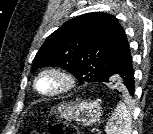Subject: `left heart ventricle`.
Segmentation results:
<instances>
[{"mask_svg":"<svg viewBox=\"0 0 153 134\" xmlns=\"http://www.w3.org/2000/svg\"><path fill=\"white\" fill-rule=\"evenodd\" d=\"M61 81L53 75H44L38 82V87L43 92H50L57 89Z\"/></svg>","mask_w":153,"mask_h":134,"instance_id":"b2bd125f","label":"left heart ventricle"}]
</instances>
